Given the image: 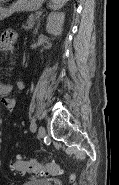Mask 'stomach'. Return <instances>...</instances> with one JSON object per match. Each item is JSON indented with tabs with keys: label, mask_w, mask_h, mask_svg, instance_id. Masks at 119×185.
Listing matches in <instances>:
<instances>
[{
	"label": "stomach",
	"mask_w": 119,
	"mask_h": 185,
	"mask_svg": "<svg viewBox=\"0 0 119 185\" xmlns=\"http://www.w3.org/2000/svg\"><path fill=\"white\" fill-rule=\"evenodd\" d=\"M44 1L45 0H17L9 8L3 7L0 3V20L9 17L14 12L37 11Z\"/></svg>",
	"instance_id": "obj_1"
}]
</instances>
